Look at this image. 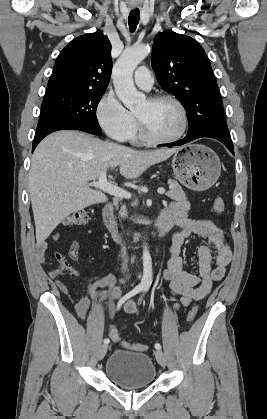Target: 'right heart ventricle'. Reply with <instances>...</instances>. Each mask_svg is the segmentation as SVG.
I'll use <instances>...</instances> for the list:
<instances>
[{
    "label": "right heart ventricle",
    "mask_w": 267,
    "mask_h": 419,
    "mask_svg": "<svg viewBox=\"0 0 267 419\" xmlns=\"http://www.w3.org/2000/svg\"><path fill=\"white\" fill-rule=\"evenodd\" d=\"M130 140L137 143L139 141L142 140V136L140 135V133L137 130V127L135 128L134 132L132 133Z\"/></svg>",
    "instance_id": "right-heart-ventricle-1"
}]
</instances>
